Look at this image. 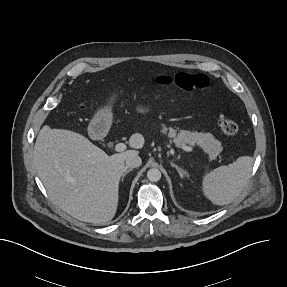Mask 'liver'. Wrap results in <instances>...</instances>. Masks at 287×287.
<instances>
[{"label": "liver", "instance_id": "obj_1", "mask_svg": "<svg viewBox=\"0 0 287 287\" xmlns=\"http://www.w3.org/2000/svg\"><path fill=\"white\" fill-rule=\"evenodd\" d=\"M144 139L134 134L129 146L139 149ZM137 150L108 156L83 135L45 125L34 146L38 175L52 202L72 217L95 225L116 214L124 161Z\"/></svg>", "mask_w": 287, "mask_h": 287}]
</instances>
